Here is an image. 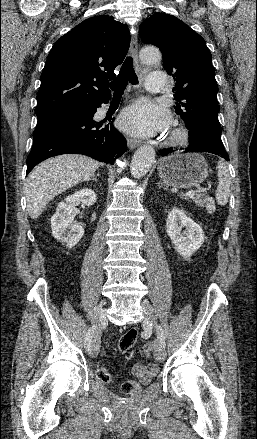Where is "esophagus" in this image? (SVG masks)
I'll return each instance as SVG.
<instances>
[{
	"mask_svg": "<svg viewBox=\"0 0 257 439\" xmlns=\"http://www.w3.org/2000/svg\"><path fill=\"white\" fill-rule=\"evenodd\" d=\"M130 52H131V55L134 57L135 61H137V59H138V39H137L136 34H133L131 36ZM140 144H141L140 140H136V139H132V138L127 139V145L130 149H135L136 147L140 146Z\"/></svg>",
	"mask_w": 257,
	"mask_h": 439,
	"instance_id": "1",
	"label": "esophagus"
}]
</instances>
